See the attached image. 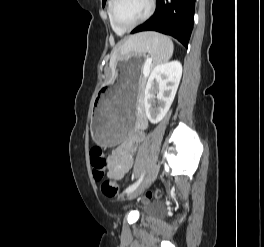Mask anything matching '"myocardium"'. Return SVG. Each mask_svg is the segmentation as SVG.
<instances>
[{
    "instance_id": "f54148a6",
    "label": "myocardium",
    "mask_w": 264,
    "mask_h": 247,
    "mask_svg": "<svg viewBox=\"0 0 264 247\" xmlns=\"http://www.w3.org/2000/svg\"><path fill=\"white\" fill-rule=\"evenodd\" d=\"M118 3H119V0H112V4L110 7V18H111V22L113 23V25L117 29L123 32L130 31L136 28L137 26L143 24L144 22H146L152 16V14L155 11V7H156L155 0H148V3H149L148 10L141 19H139L138 21L130 25H121L116 18V9H117Z\"/></svg>"
}]
</instances>
